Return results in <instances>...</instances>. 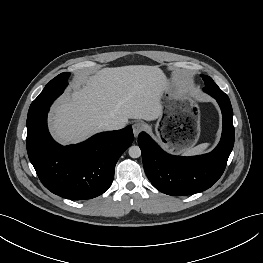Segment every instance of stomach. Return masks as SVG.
I'll return each mask as SVG.
<instances>
[{"mask_svg": "<svg viewBox=\"0 0 263 263\" xmlns=\"http://www.w3.org/2000/svg\"><path fill=\"white\" fill-rule=\"evenodd\" d=\"M161 99L167 115L161 124L156 125V134L164 137V146L171 152L182 153L192 148L200 135L198 105L171 84L165 87ZM169 122L175 125L173 129L167 128Z\"/></svg>", "mask_w": 263, "mask_h": 263, "instance_id": "0dacf381", "label": "stomach"}]
</instances>
